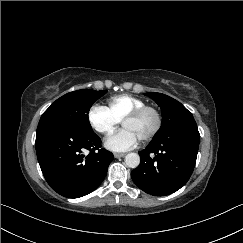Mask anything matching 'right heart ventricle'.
Segmentation results:
<instances>
[{
    "label": "right heart ventricle",
    "instance_id": "right-heart-ventricle-1",
    "mask_svg": "<svg viewBox=\"0 0 243 243\" xmlns=\"http://www.w3.org/2000/svg\"><path fill=\"white\" fill-rule=\"evenodd\" d=\"M143 106H146L143 100L128 94L113 96L108 101L109 110L119 121L133 110Z\"/></svg>",
    "mask_w": 243,
    "mask_h": 243
}]
</instances>
